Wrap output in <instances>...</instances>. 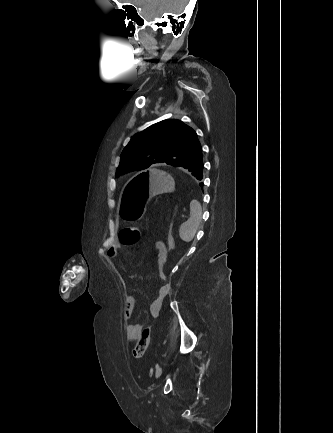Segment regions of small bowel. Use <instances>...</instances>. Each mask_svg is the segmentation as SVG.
Returning <instances> with one entry per match:
<instances>
[{"instance_id":"small-bowel-1","label":"small bowel","mask_w":333,"mask_h":433,"mask_svg":"<svg viewBox=\"0 0 333 433\" xmlns=\"http://www.w3.org/2000/svg\"><path fill=\"white\" fill-rule=\"evenodd\" d=\"M157 250V268L160 276V286L157 291L155 299L149 306V313L152 317H156L161 309L162 302L170 293V285L163 279L162 269L167 259L168 247L163 241H157L155 243ZM118 245L113 244L107 250V256L109 258H115L118 254ZM136 308V300L132 296H126L124 301V319L126 321L125 330L126 336L129 341L137 340L141 333L148 328L145 324L132 323L131 319L134 316Z\"/></svg>"}]
</instances>
